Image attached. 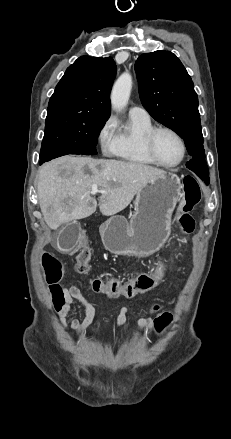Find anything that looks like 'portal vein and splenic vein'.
<instances>
[{
    "label": "portal vein and splenic vein",
    "instance_id": "1",
    "mask_svg": "<svg viewBox=\"0 0 231 439\" xmlns=\"http://www.w3.org/2000/svg\"><path fill=\"white\" fill-rule=\"evenodd\" d=\"M98 192H101V193H108L107 191L99 190V189H98V186H97L96 184L92 185V187H91V193H92V194H96V193H98Z\"/></svg>",
    "mask_w": 231,
    "mask_h": 439
}]
</instances>
